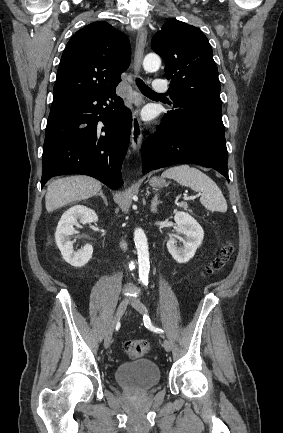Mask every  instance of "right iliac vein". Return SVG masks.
<instances>
[{
	"label": "right iliac vein",
	"mask_w": 283,
	"mask_h": 433,
	"mask_svg": "<svg viewBox=\"0 0 283 433\" xmlns=\"http://www.w3.org/2000/svg\"><path fill=\"white\" fill-rule=\"evenodd\" d=\"M128 304H129V301L127 299L121 301V303L119 304L117 311H116V314L114 316V319H113L112 323L110 324V326H109V328L105 334V337H104L105 349H107L110 346L111 341H112V335H113L114 328H115L117 322L121 319V317H122L123 313L125 312Z\"/></svg>",
	"instance_id": "right-iliac-vein-1"
}]
</instances>
